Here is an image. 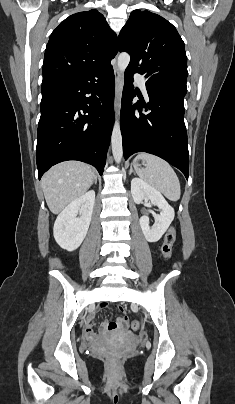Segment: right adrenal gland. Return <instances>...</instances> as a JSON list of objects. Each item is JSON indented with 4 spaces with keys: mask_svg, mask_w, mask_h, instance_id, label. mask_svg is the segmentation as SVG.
<instances>
[{
    "mask_svg": "<svg viewBox=\"0 0 235 404\" xmlns=\"http://www.w3.org/2000/svg\"><path fill=\"white\" fill-rule=\"evenodd\" d=\"M94 184H97V176L94 178Z\"/></svg>",
    "mask_w": 235,
    "mask_h": 404,
    "instance_id": "obj_1",
    "label": "right adrenal gland"
}]
</instances>
